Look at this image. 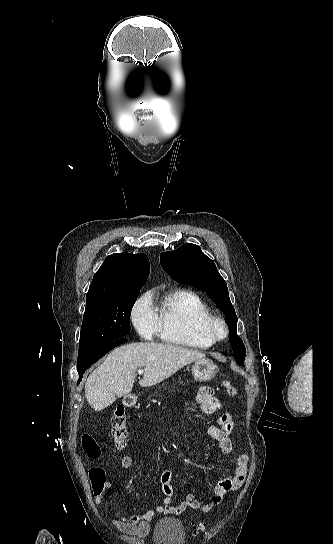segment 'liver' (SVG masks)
I'll list each match as a JSON object with an SVG mask.
<instances>
[{"label": "liver", "mask_w": 333, "mask_h": 544, "mask_svg": "<svg viewBox=\"0 0 333 544\" xmlns=\"http://www.w3.org/2000/svg\"><path fill=\"white\" fill-rule=\"evenodd\" d=\"M205 354L181 346L142 342L114 349L88 377L85 397L95 411H101L128 395L134 386L135 372L144 368L141 387H150L169 378L178 370Z\"/></svg>", "instance_id": "liver-1"}]
</instances>
